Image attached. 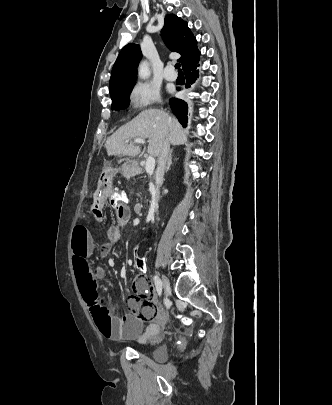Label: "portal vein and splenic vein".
<instances>
[{
	"instance_id": "1",
	"label": "portal vein and splenic vein",
	"mask_w": 332,
	"mask_h": 405,
	"mask_svg": "<svg viewBox=\"0 0 332 405\" xmlns=\"http://www.w3.org/2000/svg\"><path fill=\"white\" fill-rule=\"evenodd\" d=\"M128 142H129V140H126V143H128ZM134 142L137 143V144H144V143H146V141H145L144 139H142V138H135V139H134ZM154 168H155V159H154L153 156H149V157L147 158V160H146V167H145V170H146V172H147L149 175H152V174H153V171H154Z\"/></svg>"
}]
</instances>
